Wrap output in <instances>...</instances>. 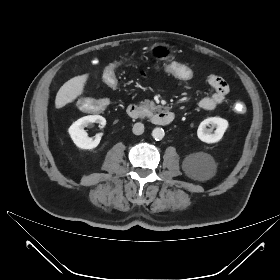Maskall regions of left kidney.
Masks as SVG:
<instances>
[{"label":"left kidney","instance_id":"5707ae66","mask_svg":"<svg viewBox=\"0 0 280 280\" xmlns=\"http://www.w3.org/2000/svg\"><path fill=\"white\" fill-rule=\"evenodd\" d=\"M209 124L216 127L213 132L212 129H207ZM228 128V121L220 117H209L203 120L197 130L198 138L205 143H216L221 140L226 129Z\"/></svg>","mask_w":280,"mask_h":280}]
</instances>
